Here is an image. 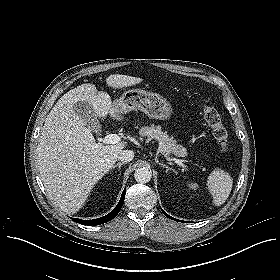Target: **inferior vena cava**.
<instances>
[{
	"instance_id": "1",
	"label": "inferior vena cava",
	"mask_w": 280,
	"mask_h": 280,
	"mask_svg": "<svg viewBox=\"0 0 280 280\" xmlns=\"http://www.w3.org/2000/svg\"><path fill=\"white\" fill-rule=\"evenodd\" d=\"M134 158V152L131 150H122L118 155V160L123 163L132 161Z\"/></svg>"
}]
</instances>
